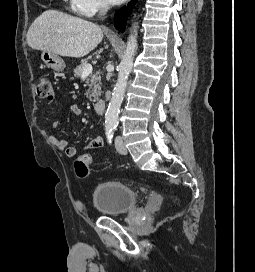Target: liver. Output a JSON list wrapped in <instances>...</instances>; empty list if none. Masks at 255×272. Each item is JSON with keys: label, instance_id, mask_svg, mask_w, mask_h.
Segmentation results:
<instances>
[{"label": "liver", "instance_id": "obj_1", "mask_svg": "<svg viewBox=\"0 0 255 272\" xmlns=\"http://www.w3.org/2000/svg\"><path fill=\"white\" fill-rule=\"evenodd\" d=\"M103 39L98 25L56 10H46L37 17L27 32L32 49L64 57H84Z\"/></svg>", "mask_w": 255, "mask_h": 272}]
</instances>
